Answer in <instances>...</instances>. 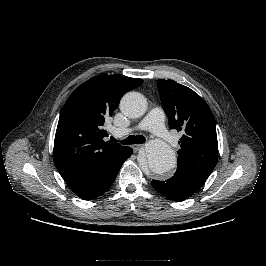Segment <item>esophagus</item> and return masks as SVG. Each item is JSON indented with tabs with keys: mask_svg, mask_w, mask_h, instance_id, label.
<instances>
[{
	"mask_svg": "<svg viewBox=\"0 0 266 266\" xmlns=\"http://www.w3.org/2000/svg\"><path fill=\"white\" fill-rule=\"evenodd\" d=\"M143 145L141 144H134L132 145L133 151L136 153Z\"/></svg>",
	"mask_w": 266,
	"mask_h": 266,
	"instance_id": "1",
	"label": "esophagus"
}]
</instances>
